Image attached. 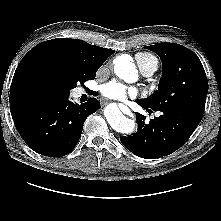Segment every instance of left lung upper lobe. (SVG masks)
I'll return each instance as SVG.
<instances>
[{"label":"left lung upper lobe","instance_id":"5c2ea615","mask_svg":"<svg viewBox=\"0 0 221 221\" xmlns=\"http://www.w3.org/2000/svg\"><path fill=\"white\" fill-rule=\"evenodd\" d=\"M145 48L160 56L163 70L158 90L140 102L154 111L182 109L203 115L208 82L199 58L179 44L159 43Z\"/></svg>","mask_w":221,"mask_h":221}]
</instances>
